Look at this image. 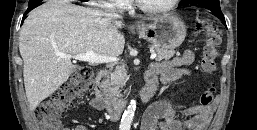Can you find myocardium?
<instances>
[{"label":"myocardium","mask_w":257,"mask_h":130,"mask_svg":"<svg viewBox=\"0 0 257 130\" xmlns=\"http://www.w3.org/2000/svg\"><path fill=\"white\" fill-rule=\"evenodd\" d=\"M135 1H136L137 7L141 11L149 14H160V13H165L172 10L180 0H170L167 4L160 7H148V6H145L140 0H135Z\"/></svg>","instance_id":"1"}]
</instances>
